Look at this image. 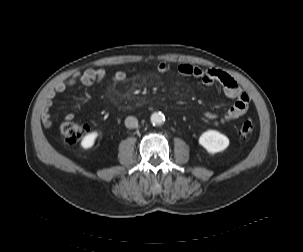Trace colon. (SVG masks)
<instances>
[{"mask_svg": "<svg viewBox=\"0 0 303 252\" xmlns=\"http://www.w3.org/2000/svg\"><path fill=\"white\" fill-rule=\"evenodd\" d=\"M254 131V125L251 122H244L241 124L240 133L243 137H249ZM87 129L74 122H64L60 127L62 138L69 143L77 142L85 133Z\"/></svg>", "mask_w": 303, "mask_h": 252, "instance_id": "colon-1", "label": "colon"}]
</instances>
